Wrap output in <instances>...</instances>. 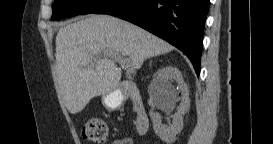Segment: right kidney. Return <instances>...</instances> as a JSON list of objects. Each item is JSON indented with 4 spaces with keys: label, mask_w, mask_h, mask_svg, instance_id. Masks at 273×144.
<instances>
[{
    "label": "right kidney",
    "mask_w": 273,
    "mask_h": 144,
    "mask_svg": "<svg viewBox=\"0 0 273 144\" xmlns=\"http://www.w3.org/2000/svg\"><path fill=\"white\" fill-rule=\"evenodd\" d=\"M172 81L178 83L183 98L189 103L188 87L184 83L179 70L171 66L163 67L154 74L153 83L157 84L159 87V102L162 105H165L169 100L176 97L177 93L171 83ZM185 111V109H179L173 116L172 124L169 125L162 124L161 117L153 111H150L149 115L153 122V129L162 141L170 144L175 140L176 135L179 134L183 128V115L185 114Z\"/></svg>",
    "instance_id": "obj_1"
}]
</instances>
